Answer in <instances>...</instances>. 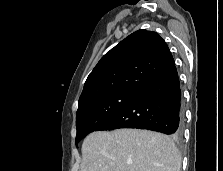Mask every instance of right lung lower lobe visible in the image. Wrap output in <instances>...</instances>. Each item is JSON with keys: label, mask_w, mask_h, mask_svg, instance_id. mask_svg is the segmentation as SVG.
Here are the masks:
<instances>
[{"label": "right lung lower lobe", "mask_w": 223, "mask_h": 171, "mask_svg": "<svg viewBox=\"0 0 223 171\" xmlns=\"http://www.w3.org/2000/svg\"><path fill=\"white\" fill-rule=\"evenodd\" d=\"M140 128L180 138L183 133V106L175 65L142 89L136 97L109 121L98 128Z\"/></svg>", "instance_id": "right-lung-lower-lobe-1"}]
</instances>
